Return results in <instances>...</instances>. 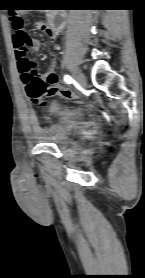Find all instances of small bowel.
Returning a JSON list of instances; mask_svg holds the SVG:
<instances>
[{
  "mask_svg": "<svg viewBox=\"0 0 145 278\" xmlns=\"http://www.w3.org/2000/svg\"><path fill=\"white\" fill-rule=\"evenodd\" d=\"M37 29L40 30L45 34L47 42H54L57 36V33L49 29L46 25H37ZM14 44L16 45L15 39ZM43 43L39 40L32 39L31 43L28 45H20L18 46V50L25 49L27 50H39L42 47ZM17 58V71L19 74L20 81L23 85L26 95L28 98L36 103H43L46 98L55 95H61L64 97H69L70 95L65 93L64 88L57 85V76L54 72V60L51 62L50 68L48 71L40 74H34V67L35 63L31 60L24 57H19L16 55ZM31 92H34L36 97L31 96ZM28 123L31 128V132L35 136H39L41 132V127L39 122L35 116H31L28 120Z\"/></svg>",
  "mask_w": 145,
  "mask_h": 278,
  "instance_id": "obj_1",
  "label": "small bowel"
}]
</instances>
